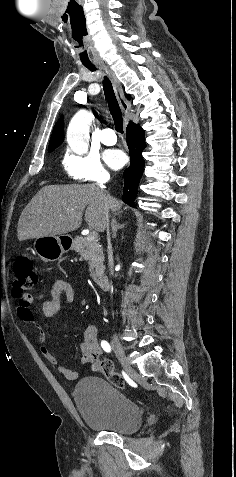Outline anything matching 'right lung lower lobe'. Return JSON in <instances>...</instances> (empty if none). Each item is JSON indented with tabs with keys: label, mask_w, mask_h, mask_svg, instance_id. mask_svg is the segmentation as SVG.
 <instances>
[{
	"label": "right lung lower lobe",
	"mask_w": 236,
	"mask_h": 477,
	"mask_svg": "<svg viewBox=\"0 0 236 477\" xmlns=\"http://www.w3.org/2000/svg\"><path fill=\"white\" fill-rule=\"evenodd\" d=\"M127 144L130 155V167L125 169L124 189L122 200L130 206H134L137 188L144 171V159L142 152L146 147L144 131L139 124L131 123L126 128Z\"/></svg>",
	"instance_id": "right-lung-lower-lobe-1"
}]
</instances>
